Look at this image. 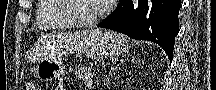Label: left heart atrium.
Here are the masks:
<instances>
[{"instance_id":"39dd6f15","label":"left heart atrium","mask_w":216,"mask_h":90,"mask_svg":"<svg viewBox=\"0 0 216 90\" xmlns=\"http://www.w3.org/2000/svg\"><path fill=\"white\" fill-rule=\"evenodd\" d=\"M98 3H117L118 0H97Z\"/></svg>"}]
</instances>
